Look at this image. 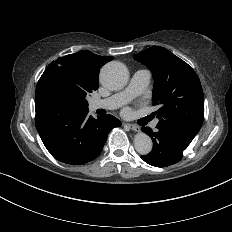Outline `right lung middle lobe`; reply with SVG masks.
I'll return each mask as SVG.
<instances>
[{
	"mask_svg": "<svg viewBox=\"0 0 232 232\" xmlns=\"http://www.w3.org/2000/svg\"><path fill=\"white\" fill-rule=\"evenodd\" d=\"M97 88L98 85L84 81L50 63L38 81L36 95L55 99L68 107L88 109L86 98Z\"/></svg>",
	"mask_w": 232,
	"mask_h": 232,
	"instance_id": "1",
	"label": "right lung middle lobe"
}]
</instances>
